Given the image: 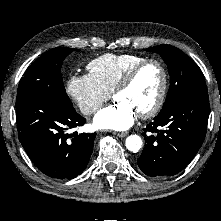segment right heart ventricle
I'll list each match as a JSON object with an SVG mask.
<instances>
[{
    "label": "right heart ventricle",
    "mask_w": 221,
    "mask_h": 221,
    "mask_svg": "<svg viewBox=\"0 0 221 221\" xmlns=\"http://www.w3.org/2000/svg\"><path fill=\"white\" fill-rule=\"evenodd\" d=\"M144 60L145 57L135 54L108 53L92 60L87 68L89 74L112 93L126 73Z\"/></svg>",
    "instance_id": "e07e8e85"
}]
</instances>
